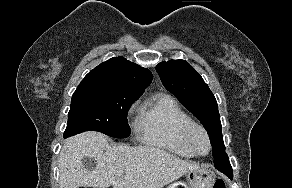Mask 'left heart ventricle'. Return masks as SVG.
<instances>
[{"label": "left heart ventricle", "mask_w": 292, "mask_h": 188, "mask_svg": "<svg viewBox=\"0 0 292 188\" xmlns=\"http://www.w3.org/2000/svg\"><path fill=\"white\" fill-rule=\"evenodd\" d=\"M193 143L197 150L201 153H206L208 150V142L205 138V136L200 133L196 132L193 136Z\"/></svg>", "instance_id": "obj_1"}]
</instances>
